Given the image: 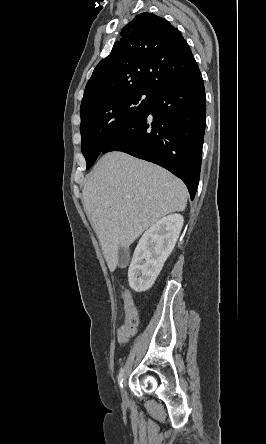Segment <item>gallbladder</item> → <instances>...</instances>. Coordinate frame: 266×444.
<instances>
[{
	"label": "gallbladder",
	"instance_id": "gallbladder-1",
	"mask_svg": "<svg viewBox=\"0 0 266 444\" xmlns=\"http://www.w3.org/2000/svg\"><path fill=\"white\" fill-rule=\"evenodd\" d=\"M127 258H128V251L124 248H120L119 249V267H123L126 262H127Z\"/></svg>",
	"mask_w": 266,
	"mask_h": 444
}]
</instances>
